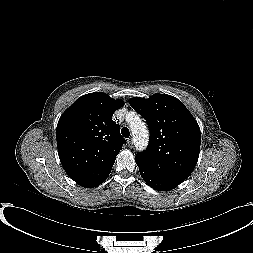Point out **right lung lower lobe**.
<instances>
[{
  "label": "right lung lower lobe",
  "instance_id": "right-lung-lower-lobe-1",
  "mask_svg": "<svg viewBox=\"0 0 253 253\" xmlns=\"http://www.w3.org/2000/svg\"><path fill=\"white\" fill-rule=\"evenodd\" d=\"M105 180V179H104ZM103 180V181H104ZM103 181H101L100 183H98V184H95L94 186H92V187H96V186H98V185H100ZM92 187H89V188H92Z\"/></svg>",
  "mask_w": 253,
  "mask_h": 253
}]
</instances>
